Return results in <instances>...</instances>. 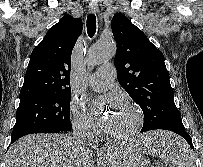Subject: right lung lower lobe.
I'll list each match as a JSON object with an SVG mask.
<instances>
[{
    "label": "right lung lower lobe",
    "mask_w": 203,
    "mask_h": 167,
    "mask_svg": "<svg viewBox=\"0 0 203 167\" xmlns=\"http://www.w3.org/2000/svg\"><path fill=\"white\" fill-rule=\"evenodd\" d=\"M59 132H65V131H63V130H50V131H46L44 133H59ZM14 141H16V140H11V143H13Z\"/></svg>",
    "instance_id": "obj_1"
}]
</instances>
